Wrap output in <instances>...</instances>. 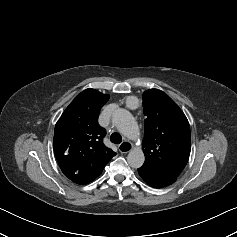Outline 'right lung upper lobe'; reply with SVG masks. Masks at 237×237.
<instances>
[{"label":"right lung upper lobe","instance_id":"right-lung-upper-lobe-1","mask_svg":"<svg viewBox=\"0 0 237 237\" xmlns=\"http://www.w3.org/2000/svg\"><path fill=\"white\" fill-rule=\"evenodd\" d=\"M109 95L82 91L55 125L53 147L62 172L72 180L98 177L116 155L103 144L105 130L98 125L101 107Z\"/></svg>","mask_w":237,"mask_h":237}]
</instances>
